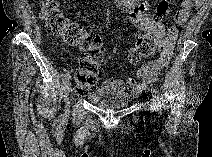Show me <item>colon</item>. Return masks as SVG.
<instances>
[{
	"label": "colon",
	"mask_w": 212,
	"mask_h": 157,
	"mask_svg": "<svg viewBox=\"0 0 212 157\" xmlns=\"http://www.w3.org/2000/svg\"><path fill=\"white\" fill-rule=\"evenodd\" d=\"M41 6L40 17L51 32L69 44L82 46L87 52L74 76L77 92L86 93L97 83L100 65L104 59V49L101 46L100 38L86 33L80 24L63 15L56 1L46 0L41 3ZM169 8L170 2L168 0L159 2L153 14V19L161 23ZM164 39V33L159 30L150 29L146 31L136 39L128 50V60L131 63H139L153 57L163 44Z\"/></svg>",
	"instance_id": "5ec220e1"
}]
</instances>
